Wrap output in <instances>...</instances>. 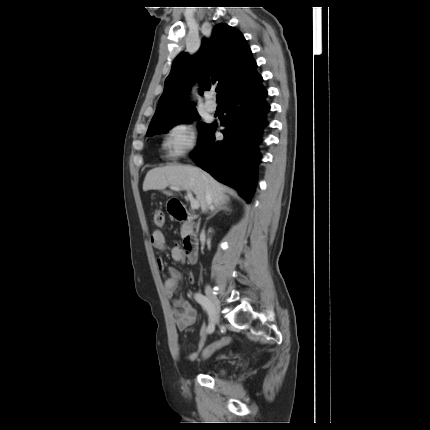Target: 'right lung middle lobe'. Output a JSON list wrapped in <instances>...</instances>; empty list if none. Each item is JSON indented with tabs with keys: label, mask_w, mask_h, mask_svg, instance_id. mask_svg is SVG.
I'll use <instances>...</instances> for the list:
<instances>
[{
	"label": "right lung middle lobe",
	"mask_w": 430,
	"mask_h": 430,
	"mask_svg": "<svg viewBox=\"0 0 430 430\" xmlns=\"http://www.w3.org/2000/svg\"><path fill=\"white\" fill-rule=\"evenodd\" d=\"M200 116L198 115L197 111L195 109L184 111L178 115H175L165 121L159 122L155 125H152L148 128L147 136H153L155 133H162L167 132L171 127L174 125L180 123V122H192L194 120H198ZM211 125H207L205 123L199 124V132H200V138L198 141V144L202 143L205 136L211 129Z\"/></svg>",
	"instance_id": "right-lung-middle-lobe-1"
}]
</instances>
